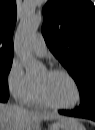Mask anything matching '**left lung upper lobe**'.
<instances>
[{
  "mask_svg": "<svg viewBox=\"0 0 95 130\" xmlns=\"http://www.w3.org/2000/svg\"><path fill=\"white\" fill-rule=\"evenodd\" d=\"M43 15L46 44L74 78L82 101L95 91V7L89 0H50Z\"/></svg>",
  "mask_w": 95,
  "mask_h": 130,
  "instance_id": "1",
  "label": "left lung upper lobe"
}]
</instances>
